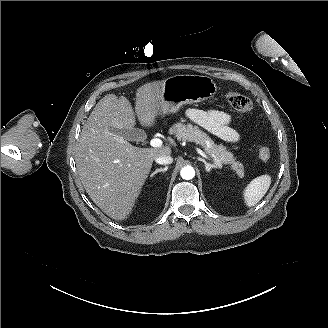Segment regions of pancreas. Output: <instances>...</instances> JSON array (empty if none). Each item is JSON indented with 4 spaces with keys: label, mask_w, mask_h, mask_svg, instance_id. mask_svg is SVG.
<instances>
[{
    "label": "pancreas",
    "mask_w": 328,
    "mask_h": 328,
    "mask_svg": "<svg viewBox=\"0 0 328 328\" xmlns=\"http://www.w3.org/2000/svg\"><path fill=\"white\" fill-rule=\"evenodd\" d=\"M169 134L174 135L178 141H189L199 144L205 153L213 158L216 167L221 168L223 164H229L230 168L238 175L244 177V166L233 154L227 151L222 144L217 145L214 141L197 126L192 124L176 123L169 129Z\"/></svg>",
    "instance_id": "pancreas-1"
}]
</instances>
